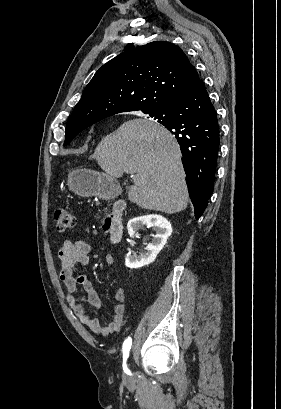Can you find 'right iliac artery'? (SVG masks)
<instances>
[{"mask_svg": "<svg viewBox=\"0 0 281 409\" xmlns=\"http://www.w3.org/2000/svg\"><path fill=\"white\" fill-rule=\"evenodd\" d=\"M131 344H132V340L131 338H128L125 340L124 344H123V356L124 359H126L129 355V351L131 348ZM124 368H125V362H124Z\"/></svg>", "mask_w": 281, "mask_h": 409, "instance_id": "right-iliac-artery-1", "label": "right iliac artery"}]
</instances>
